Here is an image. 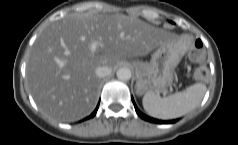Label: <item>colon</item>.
I'll use <instances>...</instances> for the list:
<instances>
[{"instance_id": "5ec220e1", "label": "colon", "mask_w": 238, "mask_h": 145, "mask_svg": "<svg viewBox=\"0 0 238 145\" xmlns=\"http://www.w3.org/2000/svg\"><path fill=\"white\" fill-rule=\"evenodd\" d=\"M192 60L202 65L206 59V52L204 49L203 42L200 39H197L194 42V46L191 52ZM194 77L198 81H205L208 77V70L204 66H200L195 70Z\"/></svg>"}]
</instances>
